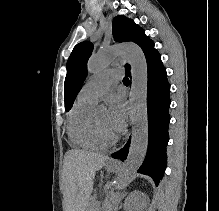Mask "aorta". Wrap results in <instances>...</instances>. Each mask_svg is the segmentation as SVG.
I'll list each match as a JSON object with an SVG mask.
<instances>
[{"mask_svg":"<svg viewBox=\"0 0 219 211\" xmlns=\"http://www.w3.org/2000/svg\"><path fill=\"white\" fill-rule=\"evenodd\" d=\"M119 54L131 66L130 116L133 122V129L127 159L115 181L116 188H122L127 185L142 165L148 148L147 62L139 46L133 43H126L100 50L89 59L87 64L89 74H96L105 69L115 56ZM98 110H104V107L100 106Z\"/></svg>","mask_w":219,"mask_h":211,"instance_id":"aorta-1","label":"aorta"}]
</instances>
